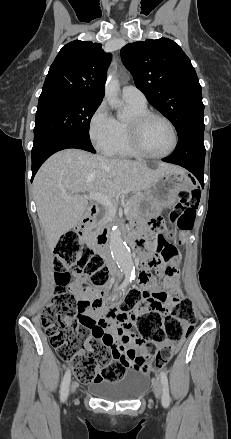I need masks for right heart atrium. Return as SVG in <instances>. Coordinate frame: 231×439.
Returning <instances> with one entry per match:
<instances>
[{
  "instance_id": "right-heart-atrium-1",
  "label": "right heart atrium",
  "mask_w": 231,
  "mask_h": 439,
  "mask_svg": "<svg viewBox=\"0 0 231 439\" xmlns=\"http://www.w3.org/2000/svg\"><path fill=\"white\" fill-rule=\"evenodd\" d=\"M90 141L100 151L112 145L115 140V119L105 102H101L93 111L88 122Z\"/></svg>"
}]
</instances>
